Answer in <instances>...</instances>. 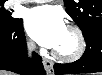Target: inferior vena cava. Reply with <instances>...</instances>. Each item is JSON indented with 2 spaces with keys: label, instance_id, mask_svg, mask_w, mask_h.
Returning a JSON list of instances; mask_svg holds the SVG:
<instances>
[{
  "label": "inferior vena cava",
  "instance_id": "1",
  "mask_svg": "<svg viewBox=\"0 0 102 75\" xmlns=\"http://www.w3.org/2000/svg\"><path fill=\"white\" fill-rule=\"evenodd\" d=\"M27 48H28V54L30 56L31 55V52L35 50L36 45L32 41H29L27 43Z\"/></svg>",
  "mask_w": 102,
  "mask_h": 75
}]
</instances>
